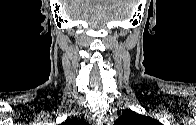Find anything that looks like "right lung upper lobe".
Returning <instances> with one entry per match:
<instances>
[{
  "instance_id": "right-lung-upper-lobe-1",
  "label": "right lung upper lobe",
  "mask_w": 196,
  "mask_h": 125,
  "mask_svg": "<svg viewBox=\"0 0 196 125\" xmlns=\"http://www.w3.org/2000/svg\"><path fill=\"white\" fill-rule=\"evenodd\" d=\"M69 122V120H67L65 123H68Z\"/></svg>"
}]
</instances>
